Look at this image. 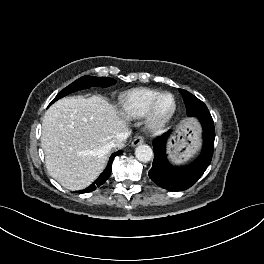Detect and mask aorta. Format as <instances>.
Listing matches in <instances>:
<instances>
[{"instance_id": "aorta-1", "label": "aorta", "mask_w": 264, "mask_h": 264, "mask_svg": "<svg viewBox=\"0 0 264 264\" xmlns=\"http://www.w3.org/2000/svg\"><path fill=\"white\" fill-rule=\"evenodd\" d=\"M135 156L140 162H149L153 157V150L146 144H141L135 149Z\"/></svg>"}]
</instances>
